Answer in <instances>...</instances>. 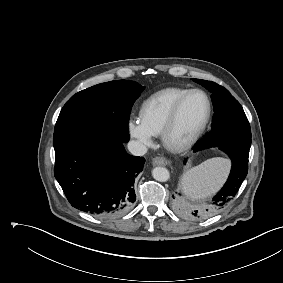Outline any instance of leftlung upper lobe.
Returning <instances> with one entry per match:
<instances>
[{
  "label": "left lung upper lobe",
  "mask_w": 283,
  "mask_h": 283,
  "mask_svg": "<svg viewBox=\"0 0 283 283\" xmlns=\"http://www.w3.org/2000/svg\"><path fill=\"white\" fill-rule=\"evenodd\" d=\"M212 95L214 116L211 131L202 140L209 146H237L250 149L251 130L240 103L224 87L212 81L193 79Z\"/></svg>",
  "instance_id": "left-lung-upper-lobe-1"
}]
</instances>
